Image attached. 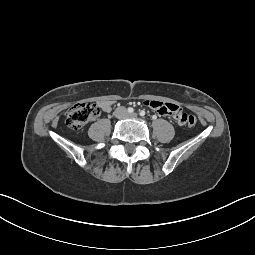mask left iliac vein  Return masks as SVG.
<instances>
[{
    "label": "left iliac vein",
    "mask_w": 255,
    "mask_h": 255,
    "mask_svg": "<svg viewBox=\"0 0 255 255\" xmlns=\"http://www.w3.org/2000/svg\"><path fill=\"white\" fill-rule=\"evenodd\" d=\"M128 118H137L138 114L137 113H132L127 115Z\"/></svg>",
    "instance_id": "1"
}]
</instances>
